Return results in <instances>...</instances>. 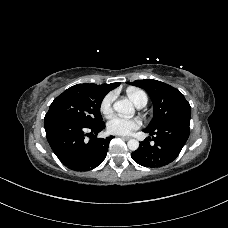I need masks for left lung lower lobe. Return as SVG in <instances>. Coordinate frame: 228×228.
Returning a JSON list of instances; mask_svg holds the SVG:
<instances>
[{"instance_id": "1", "label": "left lung lower lobe", "mask_w": 228, "mask_h": 228, "mask_svg": "<svg viewBox=\"0 0 228 228\" xmlns=\"http://www.w3.org/2000/svg\"><path fill=\"white\" fill-rule=\"evenodd\" d=\"M190 119L183 118L161 126L157 130H146L152 136L140 143L139 148L131 154L138 164L158 168L173 162L179 155L189 137ZM154 135V136H153ZM153 140L154 143H150Z\"/></svg>"}]
</instances>
